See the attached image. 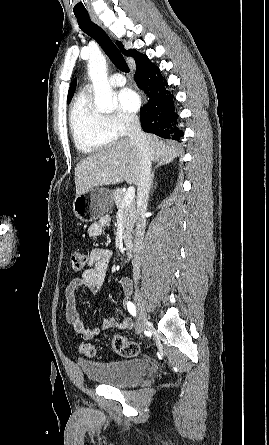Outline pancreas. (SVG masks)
<instances>
[{"label": "pancreas", "mask_w": 269, "mask_h": 445, "mask_svg": "<svg viewBox=\"0 0 269 445\" xmlns=\"http://www.w3.org/2000/svg\"><path fill=\"white\" fill-rule=\"evenodd\" d=\"M125 192L117 188L113 191V197L118 210L122 211L123 227H124V243L128 244L132 240L133 226L137 218L136 202L133 200L128 205H123Z\"/></svg>", "instance_id": "obj_1"}]
</instances>
